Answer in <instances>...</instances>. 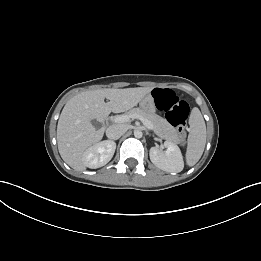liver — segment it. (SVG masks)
Segmentation results:
<instances>
[{
    "label": "liver",
    "instance_id": "obj_1",
    "mask_svg": "<svg viewBox=\"0 0 261 261\" xmlns=\"http://www.w3.org/2000/svg\"><path fill=\"white\" fill-rule=\"evenodd\" d=\"M151 90V87L98 89L72 97L64 106L57 125V144L62 159L77 171L85 170V151L104 134V130L93 126L92 120L102 122L111 112L121 113L133 108ZM105 98L109 100L107 103Z\"/></svg>",
    "mask_w": 261,
    "mask_h": 261
}]
</instances>
